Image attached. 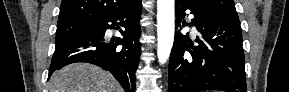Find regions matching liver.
<instances>
[{"label": "liver", "instance_id": "liver-1", "mask_svg": "<svg viewBox=\"0 0 289 92\" xmlns=\"http://www.w3.org/2000/svg\"><path fill=\"white\" fill-rule=\"evenodd\" d=\"M48 87L50 92H122L109 72L87 63H74L56 71Z\"/></svg>", "mask_w": 289, "mask_h": 92}]
</instances>
